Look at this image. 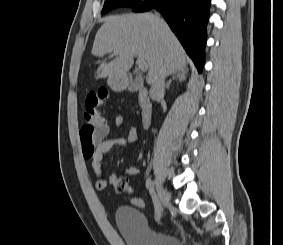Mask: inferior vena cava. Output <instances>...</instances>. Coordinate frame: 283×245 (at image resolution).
Masks as SVG:
<instances>
[{
  "mask_svg": "<svg viewBox=\"0 0 283 245\" xmlns=\"http://www.w3.org/2000/svg\"><path fill=\"white\" fill-rule=\"evenodd\" d=\"M164 22V21H163ZM164 24L166 25V23L164 22ZM165 77L166 75L163 72H160L154 83L151 86L150 89V96L152 99H156L158 97L163 96L164 94V86H165Z\"/></svg>",
  "mask_w": 283,
  "mask_h": 245,
  "instance_id": "1",
  "label": "inferior vena cava"
}]
</instances>
